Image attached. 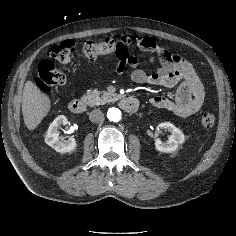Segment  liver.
I'll return each instance as SVG.
<instances>
[{
    "instance_id": "6515ba94",
    "label": "liver",
    "mask_w": 236,
    "mask_h": 236,
    "mask_svg": "<svg viewBox=\"0 0 236 236\" xmlns=\"http://www.w3.org/2000/svg\"><path fill=\"white\" fill-rule=\"evenodd\" d=\"M50 109V98L32 81H27L22 96V113L26 127L30 131L37 128Z\"/></svg>"
}]
</instances>
